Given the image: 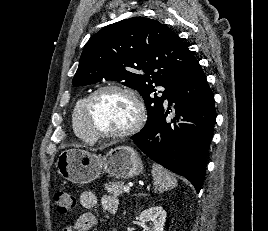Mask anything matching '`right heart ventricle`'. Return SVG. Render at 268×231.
<instances>
[{
  "label": "right heart ventricle",
  "mask_w": 268,
  "mask_h": 231,
  "mask_svg": "<svg viewBox=\"0 0 268 231\" xmlns=\"http://www.w3.org/2000/svg\"><path fill=\"white\" fill-rule=\"evenodd\" d=\"M86 96L80 98L77 103L75 104L72 114H71V121L72 126L75 134L82 140L86 142L92 141V137L87 131L83 119V106L86 101Z\"/></svg>",
  "instance_id": "right-heart-ventricle-1"
}]
</instances>
